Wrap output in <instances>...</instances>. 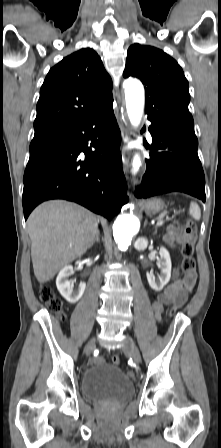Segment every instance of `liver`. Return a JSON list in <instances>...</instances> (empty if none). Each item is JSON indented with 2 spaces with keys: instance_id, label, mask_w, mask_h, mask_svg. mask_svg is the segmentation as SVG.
<instances>
[{
  "instance_id": "1",
  "label": "liver",
  "mask_w": 221,
  "mask_h": 448,
  "mask_svg": "<svg viewBox=\"0 0 221 448\" xmlns=\"http://www.w3.org/2000/svg\"><path fill=\"white\" fill-rule=\"evenodd\" d=\"M99 218L71 202L53 200L34 209L27 220L34 275L39 283L81 257L98 231Z\"/></svg>"
}]
</instances>
